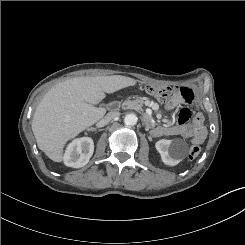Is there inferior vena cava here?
<instances>
[{
  "mask_svg": "<svg viewBox=\"0 0 245 245\" xmlns=\"http://www.w3.org/2000/svg\"><path fill=\"white\" fill-rule=\"evenodd\" d=\"M119 113L118 112H109L103 119L102 122L104 124L110 122L111 120H113L114 118L118 117Z\"/></svg>",
  "mask_w": 245,
  "mask_h": 245,
  "instance_id": "inferior-vena-cava-1",
  "label": "inferior vena cava"
}]
</instances>
